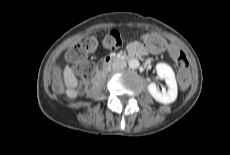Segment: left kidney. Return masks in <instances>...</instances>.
<instances>
[{"label": "left kidney", "instance_id": "obj_1", "mask_svg": "<svg viewBox=\"0 0 230 155\" xmlns=\"http://www.w3.org/2000/svg\"><path fill=\"white\" fill-rule=\"evenodd\" d=\"M157 74L160 79L165 80L168 90L160 92L155 83L148 85V91L151 96L160 103L170 104L177 98L178 87L175 79V73L173 69L166 63H158L156 65Z\"/></svg>", "mask_w": 230, "mask_h": 155}]
</instances>
